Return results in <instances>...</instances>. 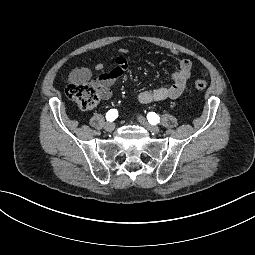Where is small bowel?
<instances>
[{
  "label": "small bowel",
  "instance_id": "small-bowel-1",
  "mask_svg": "<svg viewBox=\"0 0 255 255\" xmlns=\"http://www.w3.org/2000/svg\"><path fill=\"white\" fill-rule=\"evenodd\" d=\"M126 49H119L115 58V66L108 72L100 73L95 76V71H101L104 68L103 62H98L94 69L89 67L74 68L69 74V82L74 84H85L92 82L100 90L103 99L111 96V86L126 72L128 62L125 58ZM177 57L178 70L175 71L171 78L172 83L166 86L158 87L153 90L140 91L136 98L142 104H150L167 99L178 98L185 90L188 80L191 76L192 63L190 60L183 58L178 52L171 51Z\"/></svg>",
  "mask_w": 255,
  "mask_h": 255
}]
</instances>
